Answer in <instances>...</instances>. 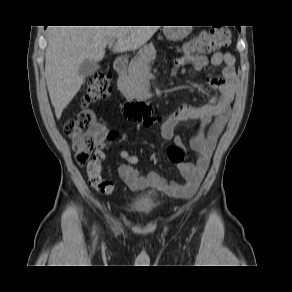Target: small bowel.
<instances>
[{
	"label": "small bowel",
	"mask_w": 292,
	"mask_h": 292,
	"mask_svg": "<svg viewBox=\"0 0 292 292\" xmlns=\"http://www.w3.org/2000/svg\"><path fill=\"white\" fill-rule=\"evenodd\" d=\"M207 63L208 58L204 55H183L175 59L172 74L175 75L184 66L202 70ZM210 63L214 66L223 65L221 76L207 78L209 86L215 93L203 105H181L175 112L163 119L161 126L162 136L167 140H174L177 146L182 147L183 143L180 137L174 136L177 125L200 122L197 133L189 141L190 148L197 154L196 162L177 165L184 181L182 183L169 181L154 171L144 175L141 170L135 167L139 162V157L122 150L119 155L126 162L118 167V173L130 189L138 191L146 188H157L178 198H189L198 189L208 169L217 141L230 118L231 103L234 100L237 85L235 58L232 54L215 52L210 58ZM157 121H159L158 118H149L142 125L150 126ZM117 136L116 131H107L101 128L95 139L98 151L102 152L107 144L116 139Z\"/></svg>",
	"instance_id": "small-bowel-1"
}]
</instances>
